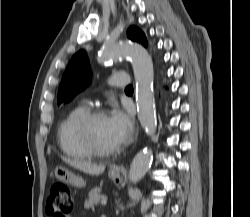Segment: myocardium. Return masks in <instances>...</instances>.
Listing matches in <instances>:
<instances>
[{
  "mask_svg": "<svg viewBox=\"0 0 250 217\" xmlns=\"http://www.w3.org/2000/svg\"><path fill=\"white\" fill-rule=\"evenodd\" d=\"M105 116V112L96 108L89 110L79 121L77 130L78 135L84 144V146L93 154L97 156H111L117 154L120 151V147L116 148H103L95 140L93 136V124L100 118Z\"/></svg>",
  "mask_w": 250,
  "mask_h": 217,
  "instance_id": "myocardium-1",
  "label": "myocardium"
}]
</instances>
